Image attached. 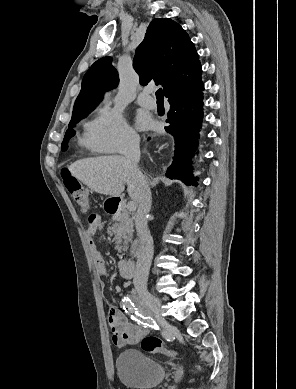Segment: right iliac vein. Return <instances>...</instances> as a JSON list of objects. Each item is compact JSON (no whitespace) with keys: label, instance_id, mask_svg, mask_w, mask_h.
Instances as JSON below:
<instances>
[{"label":"right iliac vein","instance_id":"right-iliac-vein-1","mask_svg":"<svg viewBox=\"0 0 296 389\" xmlns=\"http://www.w3.org/2000/svg\"><path fill=\"white\" fill-rule=\"evenodd\" d=\"M141 304L155 315L162 326H167L166 320L161 317V301L157 296L148 293L143 297Z\"/></svg>","mask_w":296,"mask_h":389}]
</instances>
